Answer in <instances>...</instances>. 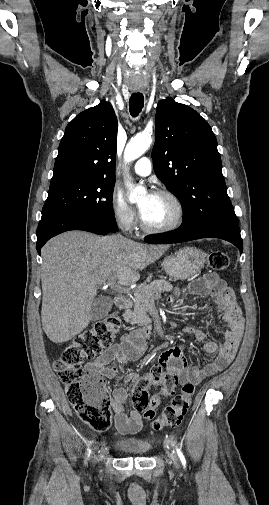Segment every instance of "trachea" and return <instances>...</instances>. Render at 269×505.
<instances>
[{
    "label": "trachea",
    "mask_w": 269,
    "mask_h": 505,
    "mask_svg": "<svg viewBox=\"0 0 269 505\" xmlns=\"http://www.w3.org/2000/svg\"><path fill=\"white\" fill-rule=\"evenodd\" d=\"M144 105V96L142 93H133L129 100V110L132 117H137Z\"/></svg>",
    "instance_id": "1"
}]
</instances>
